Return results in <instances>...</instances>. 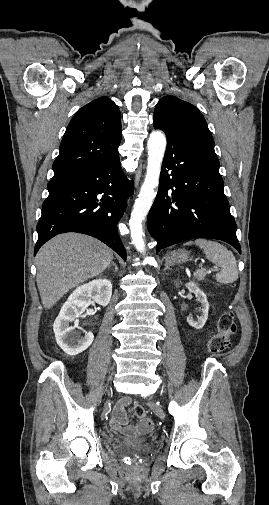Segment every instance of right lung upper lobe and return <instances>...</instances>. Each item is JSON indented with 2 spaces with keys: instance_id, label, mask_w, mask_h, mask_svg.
I'll use <instances>...</instances> for the list:
<instances>
[{
  "instance_id": "1",
  "label": "right lung upper lobe",
  "mask_w": 269,
  "mask_h": 505,
  "mask_svg": "<svg viewBox=\"0 0 269 505\" xmlns=\"http://www.w3.org/2000/svg\"><path fill=\"white\" fill-rule=\"evenodd\" d=\"M121 116L118 106L100 97L77 111L70 121L53 163L54 177L63 176L118 153Z\"/></svg>"
}]
</instances>
